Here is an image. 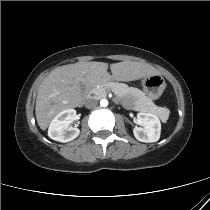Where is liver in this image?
<instances>
[{
	"mask_svg": "<svg viewBox=\"0 0 210 210\" xmlns=\"http://www.w3.org/2000/svg\"><path fill=\"white\" fill-rule=\"evenodd\" d=\"M107 70V63L93 61L68 64L51 71L40 84L36 98L35 114L40 129L46 130L60 112L81 104V84L94 87L111 80L129 82L158 74L148 64L134 61L111 64L112 75Z\"/></svg>",
	"mask_w": 210,
	"mask_h": 210,
	"instance_id": "6515ba94",
	"label": "liver"
}]
</instances>
